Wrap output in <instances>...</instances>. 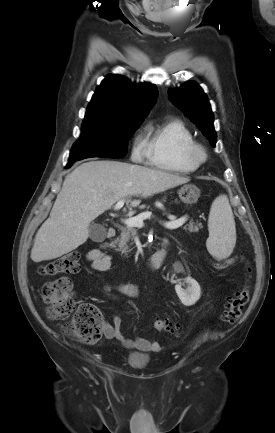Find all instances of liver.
I'll list each match as a JSON object with an SVG mask.
<instances>
[{"label": "liver", "instance_id": "obj_1", "mask_svg": "<svg viewBox=\"0 0 275 433\" xmlns=\"http://www.w3.org/2000/svg\"><path fill=\"white\" fill-rule=\"evenodd\" d=\"M190 179L118 161H90L66 176L31 250L34 262L56 259L86 242L90 223L128 196L150 197ZM132 207L140 200L130 202Z\"/></svg>", "mask_w": 275, "mask_h": 433}]
</instances>
